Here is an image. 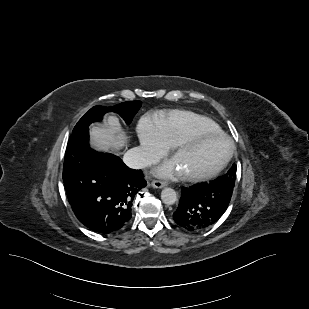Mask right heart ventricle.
<instances>
[{
	"mask_svg": "<svg viewBox=\"0 0 309 309\" xmlns=\"http://www.w3.org/2000/svg\"><path fill=\"white\" fill-rule=\"evenodd\" d=\"M156 126L171 145L195 131L221 132L219 125L212 119L187 110H176L164 115Z\"/></svg>",
	"mask_w": 309,
	"mask_h": 309,
	"instance_id": "right-heart-ventricle-1",
	"label": "right heart ventricle"
}]
</instances>
